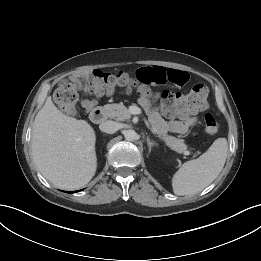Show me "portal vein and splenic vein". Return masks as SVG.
Listing matches in <instances>:
<instances>
[{
  "instance_id": "1",
  "label": "portal vein and splenic vein",
  "mask_w": 261,
  "mask_h": 261,
  "mask_svg": "<svg viewBox=\"0 0 261 261\" xmlns=\"http://www.w3.org/2000/svg\"><path fill=\"white\" fill-rule=\"evenodd\" d=\"M151 131L155 134L156 133V130L154 128H151ZM185 154H189V152H185Z\"/></svg>"
}]
</instances>
